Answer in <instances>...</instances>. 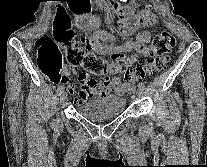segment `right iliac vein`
<instances>
[{"label":"right iliac vein","mask_w":207,"mask_h":167,"mask_svg":"<svg viewBox=\"0 0 207 167\" xmlns=\"http://www.w3.org/2000/svg\"><path fill=\"white\" fill-rule=\"evenodd\" d=\"M66 98H67V94H66V92H62V93L60 94V103H61V104L64 103L65 100H66Z\"/></svg>","instance_id":"obj_1"}]
</instances>
